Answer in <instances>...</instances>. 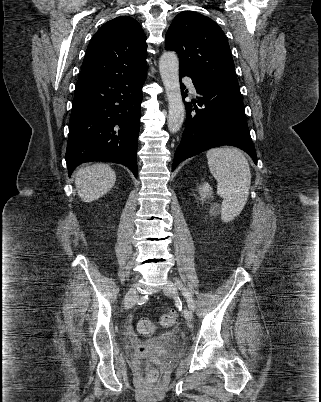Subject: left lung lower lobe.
I'll return each mask as SVG.
<instances>
[{"label": "left lung lower lobe", "mask_w": 321, "mask_h": 402, "mask_svg": "<svg viewBox=\"0 0 321 402\" xmlns=\"http://www.w3.org/2000/svg\"><path fill=\"white\" fill-rule=\"evenodd\" d=\"M189 76L200 95L196 102L201 109L186 105V127L177 148L172 171L183 160L207 149L231 145L244 150L257 164L256 151L250 136L237 81L195 78L179 71V78ZM185 86L181 83L183 95Z\"/></svg>", "instance_id": "left-lung-lower-lobe-1"}]
</instances>
